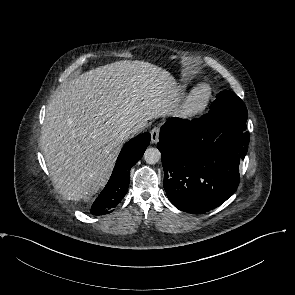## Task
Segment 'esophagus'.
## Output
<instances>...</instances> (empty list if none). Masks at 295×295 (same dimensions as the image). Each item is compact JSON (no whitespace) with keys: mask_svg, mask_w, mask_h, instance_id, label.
Here are the masks:
<instances>
[{"mask_svg":"<svg viewBox=\"0 0 295 295\" xmlns=\"http://www.w3.org/2000/svg\"><path fill=\"white\" fill-rule=\"evenodd\" d=\"M159 132L160 129L158 127H155L151 130V143L156 144L159 139Z\"/></svg>","mask_w":295,"mask_h":295,"instance_id":"esophagus-1","label":"esophagus"}]
</instances>
